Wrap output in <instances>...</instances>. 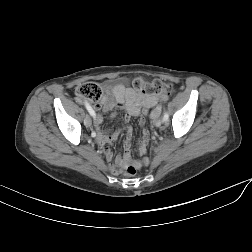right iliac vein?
<instances>
[{
    "mask_svg": "<svg viewBox=\"0 0 252 252\" xmlns=\"http://www.w3.org/2000/svg\"><path fill=\"white\" fill-rule=\"evenodd\" d=\"M84 124H85L86 127H91V125H92V120H91V118H90L89 116H87V117L85 118Z\"/></svg>",
    "mask_w": 252,
    "mask_h": 252,
    "instance_id": "1",
    "label": "right iliac vein"
}]
</instances>
